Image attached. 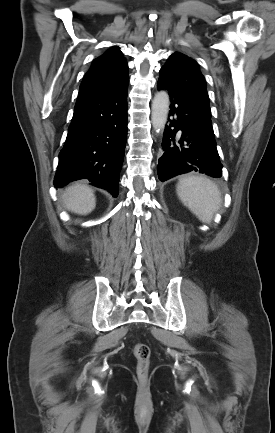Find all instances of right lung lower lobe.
<instances>
[{"label":"right lung lower lobe","mask_w":275,"mask_h":433,"mask_svg":"<svg viewBox=\"0 0 275 433\" xmlns=\"http://www.w3.org/2000/svg\"><path fill=\"white\" fill-rule=\"evenodd\" d=\"M127 138V88L76 102L65 145L59 154L55 188L88 179L118 194Z\"/></svg>","instance_id":"98d812e1"}]
</instances>
